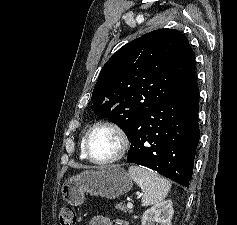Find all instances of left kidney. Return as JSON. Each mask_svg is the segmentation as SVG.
<instances>
[{"mask_svg": "<svg viewBox=\"0 0 237 225\" xmlns=\"http://www.w3.org/2000/svg\"><path fill=\"white\" fill-rule=\"evenodd\" d=\"M172 200L155 204L142 215V225H171L173 216Z\"/></svg>", "mask_w": 237, "mask_h": 225, "instance_id": "5707ae66", "label": "left kidney"}]
</instances>
